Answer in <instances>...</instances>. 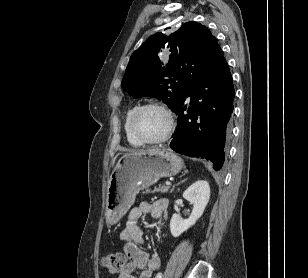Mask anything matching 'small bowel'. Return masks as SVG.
<instances>
[{
	"instance_id": "small-bowel-1",
	"label": "small bowel",
	"mask_w": 308,
	"mask_h": 278,
	"mask_svg": "<svg viewBox=\"0 0 308 278\" xmlns=\"http://www.w3.org/2000/svg\"><path fill=\"white\" fill-rule=\"evenodd\" d=\"M167 210L168 201L158 199L154 202H142L129 211L126 226L120 233V240L124 244L123 250L129 261L119 278H151L153 272L159 269L161 265L159 253L157 251L147 253L138 246L144 242L143 231L138 221L142 215L147 214L159 221L167 217ZM137 270H140L138 276L134 275Z\"/></svg>"
}]
</instances>
